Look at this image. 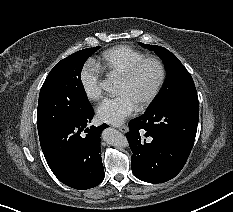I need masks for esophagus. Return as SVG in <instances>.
Here are the masks:
<instances>
[{"mask_svg": "<svg viewBox=\"0 0 233 212\" xmlns=\"http://www.w3.org/2000/svg\"><path fill=\"white\" fill-rule=\"evenodd\" d=\"M121 132L125 133L128 131V126L127 125H121L117 127Z\"/></svg>", "mask_w": 233, "mask_h": 212, "instance_id": "obj_1", "label": "esophagus"}]
</instances>
